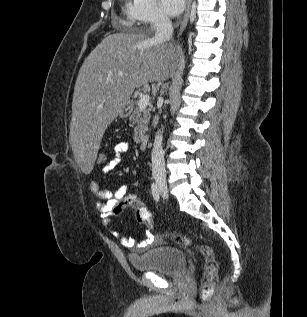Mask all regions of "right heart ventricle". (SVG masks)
I'll use <instances>...</instances> for the list:
<instances>
[{
	"label": "right heart ventricle",
	"mask_w": 307,
	"mask_h": 317,
	"mask_svg": "<svg viewBox=\"0 0 307 317\" xmlns=\"http://www.w3.org/2000/svg\"><path fill=\"white\" fill-rule=\"evenodd\" d=\"M127 15H128V18H129L128 19L129 23L131 25H133L134 19H133L132 15L130 14V10L129 9L127 10Z\"/></svg>",
	"instance_id": "obj_1"
}]
</instances>
